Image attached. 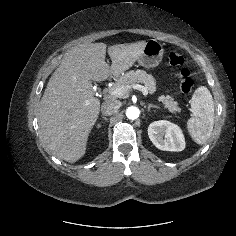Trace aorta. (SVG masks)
Masks as SVG:
<instances>
[{
	"mask_svg": "<svg viewBox=\"0 0 236 236\" xmlns=\"http://www.w3.org/2000/svg\"><path fill=\"white\" fill-rule=\"evenodd\" d=\"M140 111L135 106H130L126 109V116L130 120H135L139 117Z\"/></svg>",
	"mask_w": 236,
	"mask_h": 236,
	"instance_id": "1",
	"label": "aorta"
}]
</instances>
